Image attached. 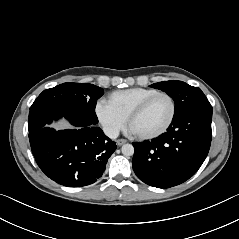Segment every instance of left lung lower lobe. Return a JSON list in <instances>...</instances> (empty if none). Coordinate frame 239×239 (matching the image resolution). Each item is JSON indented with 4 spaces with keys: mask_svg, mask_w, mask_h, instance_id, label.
<instances>
[{
    "mask_svg": "<svg viewBox=\"0 0 239 239\" xmlns=\"http://www.w3.org/2000/svg\"><path fill=\"white\" fill-rule=\"evenodd\" d=\"M212 107L190 109L174 117L167 132L151 141L134 142L132 166L144 183L169 188L192 177L207 157Z\"/></svg>",
    "mask_w": 239,
    "mask_h": 239,
    "instance_id": "obj_1",
    "label": "left lung lower lobe"
}]
</instances>
